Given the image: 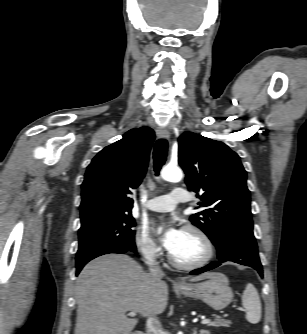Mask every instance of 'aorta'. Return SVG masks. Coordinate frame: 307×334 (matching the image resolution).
<instances>
[{"label":"aorta","instance_id":"762f6f07","mask_svg":"<svg viewBox=\"0 0 307 334\" xmlns=\"http://www.w3.org/2000/svg\"><path fill=\"white\" fill-rule=\"evenodd\" d=\"M161 176L166 181L179 182L183 178V173L178 167L166 166L162 169ZM159 232H161V229H159Z\"/></svg>","mask_w":307,"mask_h":334}]
</instances>
